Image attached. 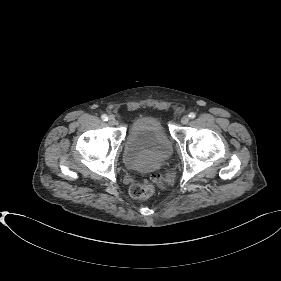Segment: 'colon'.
Instances as JSON below:
<instances>
[{"mask_svg":"<svg viewBox=\"0 0 281 281\" xmlns=\"http://www.w3.org/2000/svg\"><path fill=\"white\" fill-rule=\"evenodd\" d=\"M162 183V176L160 174L155 175L153 178L144 181L142 184H136L130 187L129 194L134 200H141L149 196L155 185Z\"/></svg>","mask_w":281,"mask_h":281,"instance_id":"1","label":"colon"}]
</instances>
